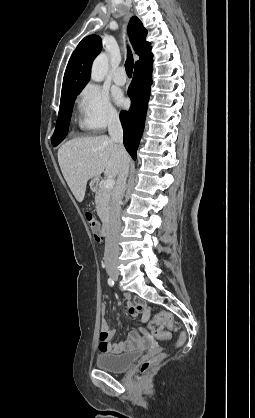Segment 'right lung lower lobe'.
<instances>
[{"mask_svg":"<svg viewBox=\"0 0 255 418\" xmlns=\"http://www.w3.org/2000/svg\"><path fill=\"white\" fill-rule=\"evenodd\" d=\"M152 70V62L135 69L133 80L128 88V96L132 106L129 111H122L120 114L124 131L123 142L134 160L144 129L152 84Z\"/></svg>","mask_w":255,"mask_h":418,"instance_id":"obj_1","label":"right lung lower lobe"}]
</instances>
